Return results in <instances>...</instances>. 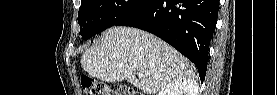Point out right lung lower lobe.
Returning <instances> with one entry per match:
<instances>
[{"instance_id":"1","label":"right lung lower lobe","mask_w":277,"mask_h":95,"mask_svg":"<svg viewBox=\"0 0 277 95\" xmlns=\"http://www.w3.org/2000/svg\"><path fill=\"white\" fill-rule=\"evenodd\" d=\"M218 9L219 0H143L116 25L160 37L197 66L203 82Z\"/></svg>"}]
</instances>
